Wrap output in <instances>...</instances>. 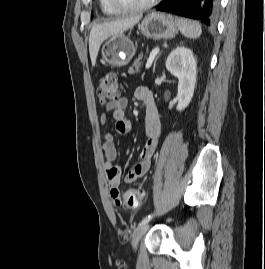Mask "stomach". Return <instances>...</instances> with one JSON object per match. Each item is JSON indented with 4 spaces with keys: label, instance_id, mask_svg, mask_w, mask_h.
<instances>
[{
    "label": "stomach",
    "instance_id": "1",
    "mask_svg": "<svg viewBox=\"0 0 265 269\" xmlns=\"http://www.w3.org/2000/svg\"><path fill=\"white\" fill-rule=\"evenodd\" d=\"M138 27L144 36L151 39H171L178 32L174 17L158 12L148 14ZM135 52L133 42L123 33L109 37L101 49L102 59L116 67L127 65Z\"/></svg>",
    "mask_w": 265,
    "mask_h": 269
}]
</instances>
